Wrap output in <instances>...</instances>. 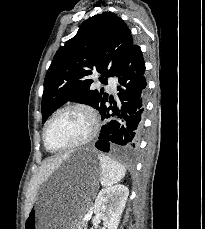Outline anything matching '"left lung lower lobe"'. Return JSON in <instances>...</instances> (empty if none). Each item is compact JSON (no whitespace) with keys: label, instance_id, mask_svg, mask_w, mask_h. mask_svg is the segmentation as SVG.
Masks as SVG:
<instances>
[{"label":"left lung lower lobe","instance_id":"obj_1","mask_svg":"<svg viewBox=\"0 0 205 229\" xmlns=\"http://www.w3.org/2000/svg\"><path fill=\"white\" fill-rule=\"evenodd\" d=\"M114 77L118 79L120 104L110 99L114 106L100 112L107 120L102 126L95 146L104 152L115 151L132 157L138 150L143 129L147 81L145 63L139 46L133 44L125 54ZM109 110L113 113L110 114Z\"/></svg>","mask_w":205,"mask_h":229}]
</instances>
